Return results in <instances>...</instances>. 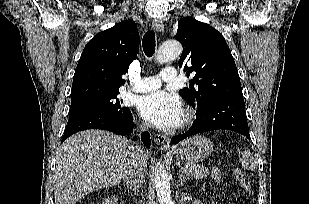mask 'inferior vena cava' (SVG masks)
<instances>
[{"label":"inferior vena cava","instance_id":"obj_1","mask_svg":"<svg viewBox=\"0 0 309 204\" xmlns=\"http://www.w3.org/2000/svg\"><path fill=\"white\" fill-rule=\"evenodd\" d=\"M148 124L143 125V129L148 128ZM147 167V156L143 148L135 144L132 159L126 170L125 178L127 187L136 190L145 181Z\"/></svg>","mask_w":309,"mask_h":204}]
</instances>
